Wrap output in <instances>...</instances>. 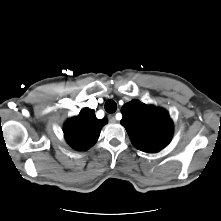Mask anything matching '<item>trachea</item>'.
Wrapping results in <instances>:
<instances>
[{
    "label": "trachea",
    "instance_id": "1",
    "mask_svg": "<svg viewBox=\"0 0 221 221\" xmlns=\"http://www.w3.org/2000/svg\"><path fill=\"white\" fill-rule=\"evenodd\" d=\"M117 110V104L114 100H108L105 103V111L107 113H114Z\"/></svg>",
    "mask_w": 221,
    "mask_h": 221
}]
</instances>
